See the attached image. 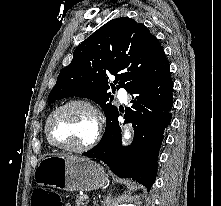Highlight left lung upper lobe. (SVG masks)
Here are the masks:
<instances>
[{"label": "left lung upper lobe", "instance_id": "1", "mask_svg": "<svg viewBox=\"0 0 221 206\" xmlns=\"http://www.w3.org/2000/svg\"><path fill=\"white\" fill-rule=\"evenodd\" d=\"M168 68L162 46L147 27L128 17L116 18L75 49L72 62L59 73L49 102L70 96L95 101L105 112L106 135L118 112L109 102L113 99L109 76H115L113 91L124 87L130 92Z\"/></svg>", "mask_w": 221, "mask_h": 206}]
</instances>
